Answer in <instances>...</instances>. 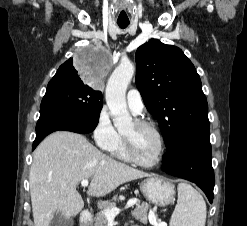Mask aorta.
Instances as JSON below:
<instances>
[{
    "label": "aorta",
    "mask_w": 247,
    "mask_h": 226,
    "mask_svg": "<svg viewBox=\"0 0 247 226\" xmlns=\"http://www.w3.org/2000/svg\"><path fill=\"white\" fill-rule=\"evenodd\" d=\"M135 67L130 61H122L111 74L106 85V103L118 129L130 125L132 117L127 109L126 90L134 75Z\"/></svg>",
    "instance_id": "obj_1"
}]
</instances>
